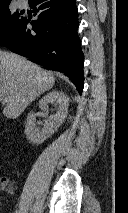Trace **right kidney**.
Masks as SVG:
<instances>
[{
    "instance_id": "right-kidney-1",
    "label": "right kidney",
    "mask_w": 128,
    "mask_h": 213,
    "mask_svg": "<svg viewBox=\"0 0 128 213\" xmlns=\"http://www.w3.org/2000/svg\"><path fill=\"white\" fill-rule=\"evenodd\" d=\"M48 103H53L58 106L57 112L48 117L41 130L36 128V117L34 112H30L27 116L25 134L27 139L33 144H42L58 130L67 116L69 98L64 92L53 90L47 93L40 99L38 104L39 109L45 110L48 107Z\"/></svg>"
}]
</instances>
